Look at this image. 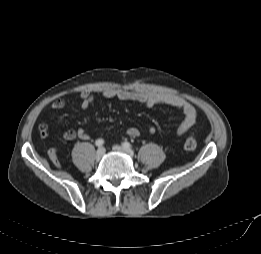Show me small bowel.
Masks as SVG:
<instances>
[{
  "label": "small bowel",
  "instance_id": "obj_1",
  "mask_svg": "<svg viewBox=\"0 0 261 254\" xmlns=\"http://www.w3.org/2000/svg\"><path fill=\"white\" fill-rule=\"evenodd\" d=\"M102 96L107 99L138 102L149 107H153L156 105H167L172 108L181 110L184 115V119L178 127L177 131L178 135L180 136L186 134L194 126L197 120V112L195 107L186 99L174 94L157 91H128L122 89H110L104 91L102 93ZM79 97L81 99V109L83 111L87 110L95 100V96L88 91H82L79 94ZM66 103L67 102L65 99H57L50 104V109H63L66 106ZM39 131L43 138L48 137L50 134L49 127L45 122L39 124ZM155 131L156 129L154 126L148 127L149 133L153 134L155 133ZM125 134L129 137H138L140 135V131L137 128L131 127L125 131ZM62 137L65 140H73L76 138L88 140L90 138L89 134L81 128L68 129L62 133ZM49 156L54 162H56V149H50Z\"/></svg>",
  "mask_w": 261,
  "mask_h": 254
}]
</instances>
